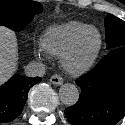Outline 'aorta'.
I'll return each mask as SVG.
<instances>
[{"instance_id":"1","label":"aorta","mask_w":125,"mask_h":125,"mask_svg":"<svg viewBox=\"0 0 125 125\" xmlns=\"http://www.w3.org/2000/svg\"><path fill=\"white\" fill-rule=\"evenodd\" d=\"M59 97L65 105L73 106L79 99V90L73 84H64L59 89Z\"/></svg>"}]
</instances>
